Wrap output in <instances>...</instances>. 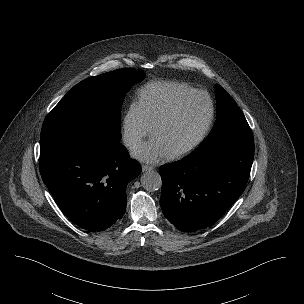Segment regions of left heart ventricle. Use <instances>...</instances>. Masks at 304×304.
<instances>
[{"mask_svg":"<svg viewBox=\"0 0 304 304\" xmlns=\"http://www.w3.org/2000/svg\"><path fill=\"white\" fill-rule=\"evenodd\" d=\"M208 112L209 106L205 98H192L156 130L154 137L161 141L169 154L180 150L198 136Z\"/></svg>","mask_w":304,"mask_h":304,"instance_id":"1","label":"left heart ventricle"}]
</instances>
